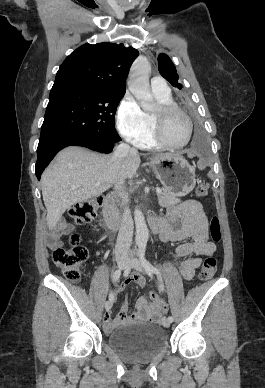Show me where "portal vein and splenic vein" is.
<instances>
[{
  "instance_id": "1",
  "label": "portal vein and splenic vein",
  "mask_w": 265,
  "mask_h": 388,
  "mask_svg": "<svg viewBox=\"0 0 265 388\" xmlns=\"http://www.w3.org/2000/svg\"><path fill=\"white\" fill-rule=\"evenodd\" d=\"M94 186H101V182H97V184H94ZM157 194H161L162 190L160 188H156Z\"/></svg>"
}]
</instances>
